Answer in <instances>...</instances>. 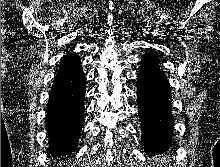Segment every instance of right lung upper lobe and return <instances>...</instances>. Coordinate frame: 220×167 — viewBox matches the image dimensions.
Wrapping results in <instances>:
<instances>
[{"label": "right lung upper lobe", "instance_id": "right-lung-upper-lobe-1", "mask_svg": "<svg viewBox=\"0 0 220 167\" xmlns=\"http://www.w3.org/2000/svg\"><path fill=\"white\" fill-rule=\"evenodd\" d=\"M78 63H80L79 56H77V54H75V53H68L64 57L61 65H60V68L76 65Z\"/></svg>", "mask_w": 220, "mask_h": 167}]
</instances>
